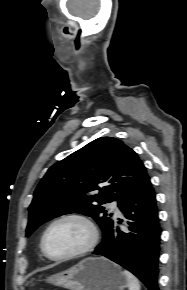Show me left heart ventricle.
<instances>
[{
	"label": "left heart ventricle",
	"mask_w": 187,
	"mask_h": 290,
	"mask_svg": "<svg viewBox=\"0 0 187 290\" xmlns=\"http://www.w3.org/2000/svg\"><path fill=\"white\" fill-rule=\"evenodd\" d=\"M87 229L77 221L55 225L48 234L46 246L52 256H61L82 248L88 241Z\"/></svg>",
	"instance_id": "obj_1"
}]
</instances>
